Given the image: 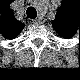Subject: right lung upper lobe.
Instances as JSON below:
<instances>
[{"mask_svg": "<svg viewBox=\"0 0 80 80\" xmlns=\"http://www.w3.org/2000/svg\"><path fill=\"white\" fill-rule=\"evenodd\" d=\"M23 28L21 22L15 20L12 11L5 10L1 20V32L6 38H15Z\"/></svg>", "mask_w": 80, "mask_h": 80, "instance_id": "right-lung-upper-lobe-1", "label": "right lung upper lobe"}]
</instances>
